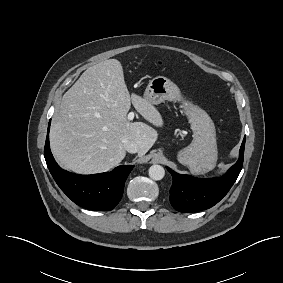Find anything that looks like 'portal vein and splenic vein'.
<instances>
[{
  "instance_id": "portal-vein-and-splenic-vein-1",
  "label": "portal vein and splenic vein",
  "mask_w": 283,
  "mask_h": 283,
  "mask_svg": "<svg viewBox=\"0 0 283 283\" xmlns=\"http://www.w3.org/2000/svg\"><path fill=\"white\" fill-rule=\"evenodd\" d=\"M134 116H135L134 112H130V113L127 115V120H128V121L133 120V119H134Z\"/></svg>"
}]
</instances>
